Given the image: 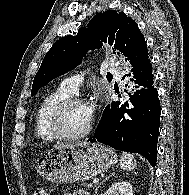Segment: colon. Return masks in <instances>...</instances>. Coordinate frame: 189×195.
Wrapping results in <instances>:
<instances>
[{
  "label": "colon",
  "mask_w": 189,
  "mask_h": 195,
  "mask_svg": "<svg viewBox=\"0 0 189 195\" xmlns=\"http://www.w3.org/2000/svg\"><path fill=\"white\" fill-rule=\"evenodd\" d=\"M34 195H47L43 190H37Z\"/></svg>",
  "instance_id": "obj_1"
}]
</instances>
